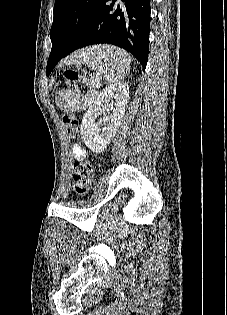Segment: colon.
Returning <instances> with one entry per match:
<instances>
[{"instance_id":"5ec220e1","label":"colon","mask_w":227,"mask_h":315,"mask_svg":"<svg viewBox=\"0 0 227 315\" xmlns=\"http://www.w3.org/2000/svg\"><path fill=\"white\" fill-rule=\"evenodd\" d=\"M67 86H73L76 83L84 81V71L79 68H68L64 72ZM63 123L66 133L70 137H77L79 134V123L72 114L63 115ZM93 180V168L87 161L78 160L73 166V189L78 195H85Z\"/></svg>"}]
</instances>
